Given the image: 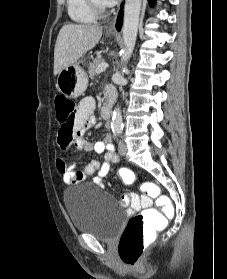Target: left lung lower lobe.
<instances>
[{
  "instance_id": "left-lung-lower-lobe-1",
  "label": "left lung lower lobe",
  "mask_w": 227,
  "mask_h": 279,
  "mask_svg": "<svg viewBox=\"0 0 227 279\" xmlns=\"http://www.w3.org/2000/svg\"><path fill=\"white\" fill-rule=\"evenodd\" d=\"M149 2H150L151 4H153V3L155 2V0H149ZM122 19H123V8H122V6H121L120 12H119V14H118L117 22H116V29H117L118 31L121 30V27H122Z\"/></svg>"
}]
</instances>
